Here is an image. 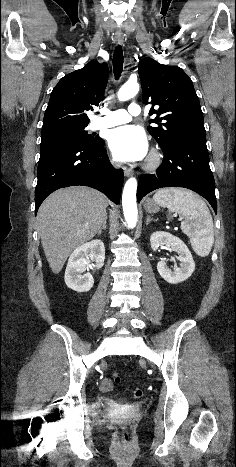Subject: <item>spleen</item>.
Instances as JSON below:
<instances>
[{"label":"spleen","mask_w":236,"mask_h":467,"mask_svg":"<svg viewBox=\"0 0 236 467\" xmlns=\"http://www.w3.org/2000/svg\"><path fill=\"white\" fill-rule=\"evenodd\" d=\"M153 199L182 217L181 230L189 237L193 250L201 257L208 256L214 243V226L206 203L181 188L158 190Z\"/></svg>","instance_id":"3e777b00"}]
</instances>
